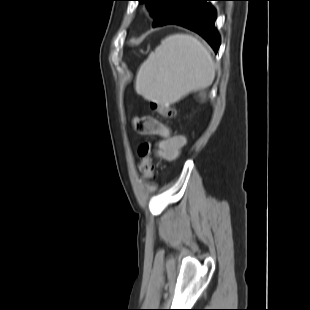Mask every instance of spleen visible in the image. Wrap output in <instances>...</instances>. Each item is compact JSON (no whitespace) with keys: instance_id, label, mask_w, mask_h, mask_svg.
<instances>
[{"instance_id":"obj_1","label":"spleen","mask_w":310,"mask_h":310,"mask_svg":"<svg viewBox=\"0 0 310 310\" xmlns=\"http://www.w3.org/2000/svg\"><path fill=\"white\" fill-rule=\"evenodd\" d=\"M214 78L215 65L208 49L192 35L174 34L162 40L141 65L135 90L147 100L172 104L209 87Z\"/></svg>"}]
</instances>
